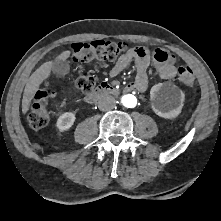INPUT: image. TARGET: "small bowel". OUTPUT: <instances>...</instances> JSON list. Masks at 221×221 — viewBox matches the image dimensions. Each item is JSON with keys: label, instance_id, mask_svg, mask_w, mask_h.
I'll list each match as a JSON object with an SVG mask.
<instances>
[{"label": "small bowel", "instance_id": "small-bowel-1", "mask_svg": "<svg viewBox=\"0 0 221 221\" xmlns=\"http://www.w3.org/2000/svg\"><path fill=\"white\" fill-rule=\"evenodd\" d=\"M152 59L160 78L169 80L175 77L177 74L175 56L163 48H155L153 55H151L150 51L145 47L129 49L110 69L109 76L111 78L116 77L134 61L137 72L129 87L138 92H144L148 88L147 69Z\"/></svg>", "mask_w": 221, "mask_h": 221}]
</instances>
